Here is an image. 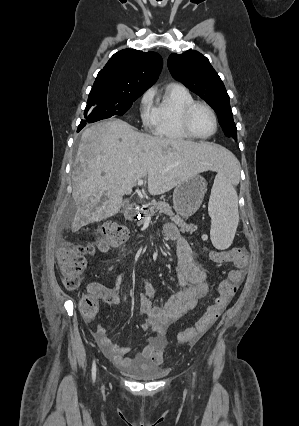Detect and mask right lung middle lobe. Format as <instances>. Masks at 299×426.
<instances>
[{
	"mask_svg": "<svg viewBox=\"0 0 299 426\" xmlns=\"http://www.w3.org/2000/svg\"><path fill=\"white\" fill-rule=\"evenodd\" d=\"M142 94L143 92L126 93L116 89L93 86L85 108V118L81 120L79 126L110 118L113 115L122 116Z\"/></svg>",
	"mask_w": 299,
	"mask_h": 426,
	"instance_id": "dd1d6c3e",
	"label": "right lung middle lobe"
}]
</instances>
